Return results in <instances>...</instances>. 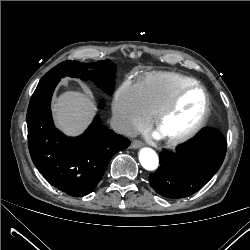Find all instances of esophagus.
I'll list each match as a JSON object with an SVG mask.
<instances>
[{
    "mask_svg": "<svg viewBox=\"0 0 250 250\" xmlns=\"http://www.w3.org/2000/svg\"><path fill=\"white\" fill-rule=\"evenodd\" d=\"M140 147H142V143L138 140L133 141L130 145L131 149H138Z\"/></svg>",
    "mask_w": 250,
    "mask_h": 250,
    "instance_id": "esophagus-1",
    "label": "esophagus"
}]
</instances>
